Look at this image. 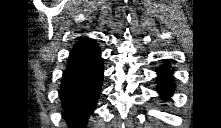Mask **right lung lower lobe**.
<instances>
[{"label": "right lung lower lobe", "mask_w": 221, "mask_h": 128, "mask_svg": "<svg viewBox=\"0 0 221 128\" xmlns=\"http://www.w3.org/2000/svg\"><path fill=\"white\" fill-rule=\"evenodd\" d=\"M98 44L80 39L73 47L60 87L63 118L71 128H83L96 107L103 81Z\"/></svg>", "instance_id": "obj_1"}]
</instances>
